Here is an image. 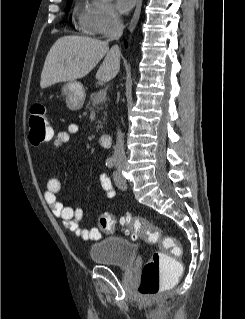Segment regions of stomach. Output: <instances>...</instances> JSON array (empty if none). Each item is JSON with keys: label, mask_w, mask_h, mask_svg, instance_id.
Instances as JSON below:
<instances>
[{"label": "stomach", "mask_w": 245, "mask_h": 319, "mask_svg": "<svg viewBox=\"0 0 245 319\" xmlns=\"http://www.w3.org/2000/svg\"><path fill=\"white\" fill-rule=\"evenodd\" d=\"M62 95L66 98L67 107L71 111L81 109L85 101V90L78 81H70L63 85Z\"/></svg>", "instance_id": "obj_1"}]
</instances>
